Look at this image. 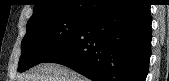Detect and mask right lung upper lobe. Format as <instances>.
<instances>
[{
    "label": "right lung upper lobe",
    "mask_w": 169,
    "mask_h": 81,
    "mask_svg": "<svg viewBox=\"0 0 169 81\" xmlns=\"http://www.w3.org/2000/svg\"><path fill=\"white\" fill-rule=\"evenodd\" d=\"M112 0H35L29 22L50 16L90 17Z\"/></svg>",
    "instance_id": "cb5924a9"
}]
</instances>
